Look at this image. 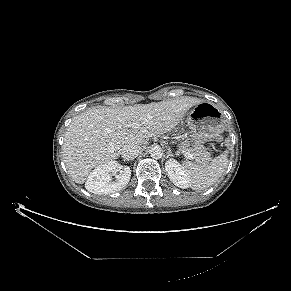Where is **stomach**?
Masks as SVG:
<instances>
[{
    "label": "stomach",
    "instance_id": "1",
    "mask_svg": "<svg viewBox=\"0 0 291 291\" xmlns=\"http://www.w3.org/2000/svg\"><path fill=\"white\" fill-rule=\"evenodd\" d=\"M187 124L194 144L215 138L224 130L221 111L210 102H202L188 113Z\"/></svg>",
    "mask_w": 291,
    "mask_h": 291
}]
</instances>
